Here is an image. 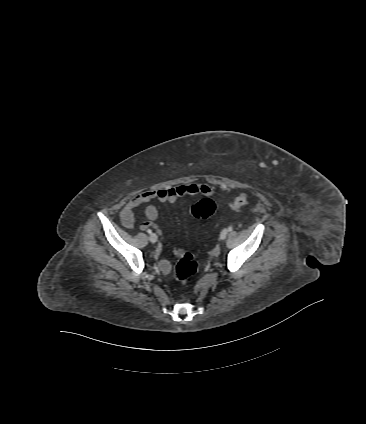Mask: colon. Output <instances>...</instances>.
I'll return each instance as SVG.
<instances>
[{"label":"colon","mask_w":366,"mask_h":424,"mask_svg":"<svg viewBox=\"0 0 366 424\" xmlns=\"http://www.w3.org/2000/svg\"><path fill=\"white\" fill-rule=\"evenodd\" d=\"M249 195L247 193H241L235 200L230 204V209L238 211L240 208L245 206L248 202ZM215 211V203L205 198L194 204L191 208V213L198 219H206L210 217ZM197 271V263L194 255L189 251H183L179 254L177 264L175 266V277L176 280L181 284L185 285L187 280L193 276Z\"/></svg>","instance_id":"5ec220e1"}]
</instances>
